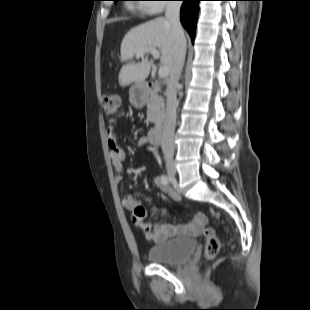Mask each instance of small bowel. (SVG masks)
I'll list each match as a JSON object with an SVG mask.
<instances>
[{"mask_svg": "<svg viewBox=\"0 0 310 310\" xmlns=\"http://www.w3.org/2000/svg\"><path fill=\"white\" fill-rule=\"evenodd\" d=\"M107 144L109 148L110 158L113 163L115 170V182L120 183L122 181L123 173V163L126 160V155L124 151L118 146L117 134L113 126L108 127L107 130ZM147 140L143 137L137 140L138 146H145ZM152 183L161 191L168 193L173 201H179L180 196L167 184L161 181L160 177H154ZM122 205L125 209L130 212H134L137 207V201L135 197L131 194H127L122 199ZM133 223L137 225L144 233L145 237L149 242L152 243H162L175 235H195L200 232L204 226L207 224V217L201 213L197 212L194 215L193 220L185 225H173L169 223L164 224H152L139 219L135 216L132 217Z\"/></svg>", "mask_w": 310, "mask_h": 310, "instance_id": "1", "label": "small bowel"}]
</instances>
